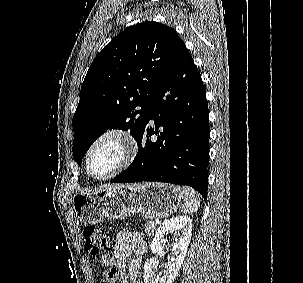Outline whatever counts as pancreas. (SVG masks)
<instances>
[{"instance_id":"1","label":"pancreas","mask_w":303,"mask_h":283,"mask_svg":"<svg viewBox=\"0 0 303 283\" xmlns=\"http://www.w3.org/2000/svg\"><path fill=\"white\" fill-rule=\"evenodd\" d=\"M152 223H153V221H149V222H147V223L145 224V226H144V227H145V232H146L149 236L153 235L154 232H155V230H156L155 224L153 225Z\"/></svg>"}]
</instances>
